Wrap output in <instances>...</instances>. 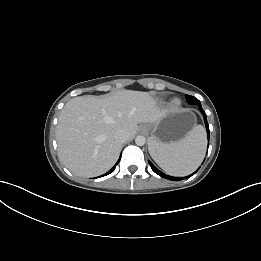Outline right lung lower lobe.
<instances>
[{"mask_svg":"<svg viewBox=\"0 0 261 261\" xmlns=\"http://www.w3.org/2000/svg\"><path fill=\"white\" fill-rule=\"evenodd\" d=\"M119 161H120V159L118 160V162L115 164V166L110 170V171H108L106 174H104L103 176H105V175H108V174H110V173H112L114 170H115V168H116V165L119 163Z\"/></svg>","mask_w":261,"mask_h":261,"instance_id":"1","label":"right lung lower lobe"}]
</instances>
